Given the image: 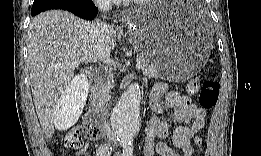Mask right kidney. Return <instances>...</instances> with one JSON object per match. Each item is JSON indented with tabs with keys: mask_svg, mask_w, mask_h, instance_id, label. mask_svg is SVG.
<instances>
[{
	"mask_svg": "<svg viewBox=\"0 0 261 156\" xmlns=\"http://www.w3.org/2000/svg\"><path fill=\"white\" fill-rule=\"evenodd\" d=\"M85 79H87L85 76H82V80L84 81ZM79 83V82H78Z\"/></svg>",
	"mask_w": 261,
	"mask_h": 156,
	"instance_id": "right-kidney-1",
	"label": "right kidney"
}]
</instances>
